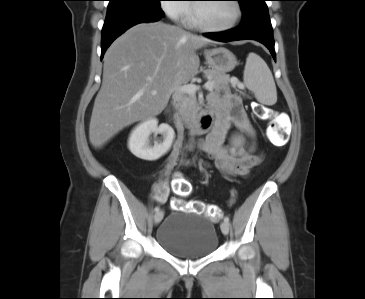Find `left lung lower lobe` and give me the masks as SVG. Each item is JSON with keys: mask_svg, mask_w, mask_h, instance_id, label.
<instances>
[{"mask_svg": "<svg viewBox=\"0 0 365 299\" xmlns=\"http://www.w3.org/2000/svg\"><path fill=\"white\" fill-rule=\"evenodd\" d=\"M205 36L223 42L256 40L264 44L276 60L273 29L265 3L254 5L243 11L242 23L238 28L224 32L207 33Z\"/></svg>", "mask_w": 365, "mask_h": 299, "instance_id": "1", "label": "left lung lower lobe"}]
</instances>
